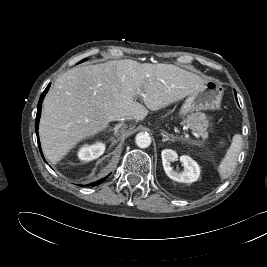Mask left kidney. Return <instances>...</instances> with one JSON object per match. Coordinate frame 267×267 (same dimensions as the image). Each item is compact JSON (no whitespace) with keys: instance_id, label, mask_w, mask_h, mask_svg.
<instances>
[{"instance_id":"5707ae66","label":"left kidney","mask_w":267,"mask_h":267,"mask_svg":"<svg viewBox=\"0 0 267 267\" xmlns=\"http://www.w3.org/2000/svg\"><path fill=\"white\" fill-rule=\"evenodd\" d=\"M163 168L169 178L182 183L195 182L200 176L199 165L189 156L183 155L180 157V162L184 166L183 172H177L171 167V162L178 159V155L171 149H164L161 153Z\"/></svg>"}]
</instances>
